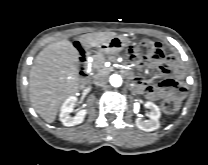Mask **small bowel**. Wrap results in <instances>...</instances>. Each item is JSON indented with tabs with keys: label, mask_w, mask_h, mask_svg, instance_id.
Returning a JSON list of instances; mask_svg holds the SVG:
<instances>
[{
	"label": "small bowel",
	"mask_w": 208,
	"mask_h": 165,
	"mask_svg": "<svg viewBox=\"0 0 208 165\" xmlns=\"http://www.w3.org/2000/svg\"><path fill=\"white\" fill-rule=\"evenodd\" d=\"M182 66L180 61L175 57L162 58L155 68L153 78L155 88L146 85L145 79L136 77L135 85L150 100L165 99L184 91V84L177 78L180 76Z\"/></svg>",
	"instance_id": "c3829d8e"
}]
</instances>
